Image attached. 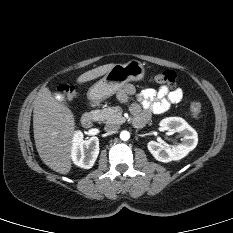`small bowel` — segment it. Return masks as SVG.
Here are the masks:
<instances>
[{
    "mask_svg": "<svg viewBox=\"0 0 233 233\" xmlns=\"http://www.w3.org/2000/svg\"><path fill=\"white\" fill-rule=\"evenodd\" d=\"M136 94V88L132 84H127L119 93L118 97L126 101L129 96ZM183 98L181 88L170 89L160 86L158 89L146 88L137 94L138 103L131 105L134 114V123L142 125L147 122L152 114H162L171 105L179 103Z\"/></svg>",
    "mask_w": 233,
    "mask_h": 233,
    "instance_id": "c3829d8e",
    "label": "small bowel"
}]
</instances>
